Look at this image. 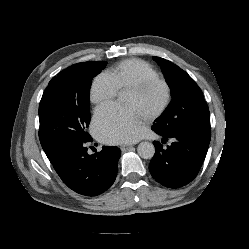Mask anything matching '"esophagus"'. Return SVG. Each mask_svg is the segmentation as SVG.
Segmentation results:
<instances>
[{
    "mask_svg": "<svg viewBox=\"0 0 249 249\" xmlns=\"http://www.w3.org/2000/svg\"><path fill=\"white\" fill-rule=\"evenodd\" d=\"M131 148H132L131 145H122V146H120V149H121V151L123 153L129 151Z\"/></svg>",
    "mask_w": 249,
    "mask_h": 249,
    "instance_id": "1",
    "label": "esophagus"
}]
</instances>
